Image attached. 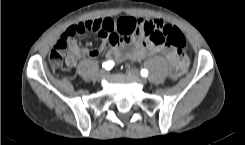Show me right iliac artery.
<instances>
[{
	"instance_id": "right-iliac-artery-1",
	"label": "right iliac artery",
	"mask_w": 245,
	"mask_h": 145,
	"mask_svg": "<svg viewBox=\"0 0 245 145\" xmlns=\"http://www.w3.org/2000/svg\"><path fill=\"white\" fill-rule=\"evenodd\" d=\"M114 66L113 61H106L105 63L102 64V67L105 68L106 70H110Z\"/></svg>"
}]
</instances>
